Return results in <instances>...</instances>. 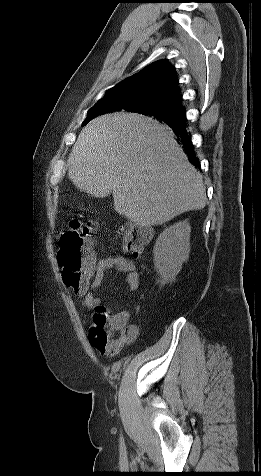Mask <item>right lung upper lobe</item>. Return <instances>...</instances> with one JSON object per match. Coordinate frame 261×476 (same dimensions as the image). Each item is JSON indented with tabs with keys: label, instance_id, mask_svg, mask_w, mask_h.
<instances>
[{
	"label": "right lung upper lobe",
	"instance_id": "right-lung-upper-lobe-1",
	"mask_svg": "<svg viewBox=\"0 0 261 476\" xmlns=\"http://www.w3.org/2000/svg\"><path fill=\"white\" fill-rule=\"evenodd\" d=\"M113 94L121 96L123 105L155 101L184 111L175 69L165 60L154 62L126 78L109 89L103 98Z\"/></svg>",
	"mask_w": 261,
	"mask_h": 476
}]
</instances>
